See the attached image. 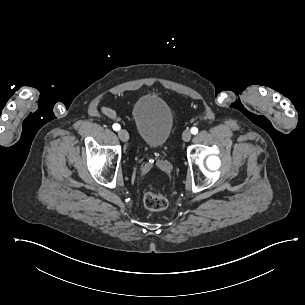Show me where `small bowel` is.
<instances>
[{"label": "small bowel", "mask_w": 305, "mask_h": 305, "mask_svg": "<svg viewBox=\"0 0 305 305\" xmlns=\"http://www.w3.org/2000/svg\"><path fill=\"white\" fill-rule=\"evenodd\" d=\"M102 113L111 119H115L117 116L116 112L108 106L102 107Z\"/></svg>", "instance_id": "obj_1"}]
</instances>
